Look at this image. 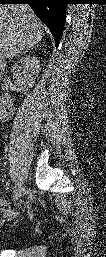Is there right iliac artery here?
I'll list each match as a JSON object with an SVG mask.
<instances>
[{
	"mask_svg": "<svg viewBox=\"0 0 106 257\" xmlns=\"http://www.w3.org/2000/svg\"><path fill=\"white\" fill-rule=\"evenodd\" d=\"M18 190H19V183H14L12 185V190H11V196L13 199L16 197Z\"/></svg>",
	"mask_w": 106,
	"mask_h": 257,
	"instance_id": "obj_1",
	"label": "right iliac artery"
}]
</instances>
